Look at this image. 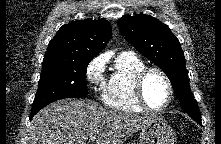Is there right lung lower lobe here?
<instances>
[{"mask_svg":"<svg viewBox=\"0 0 221 144\" xmlns=\"http://www.w3.org/2000/svg\"><path fill=\"white\" fill-rule=\"evenodd\" d=\"M35 114H36V113H31V114H30V119H32Z\"/></svg>","mask_w":221,"mask_h":144,"instance_id":"98d812e1","label":"right lung lower lobe"}]
</instances>
